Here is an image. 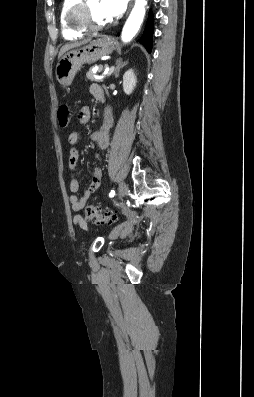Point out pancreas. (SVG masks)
Listing matches in <instances>:
<instances>
[{
    "mask_svg": "<svg viewBox=\"0 0 254 397\" xmlns=\"http://www.w3.org/2000/svg\"><path fill=\"white\" fill-rule=\"evenodd\" d=\"M102 70H103V66H102V65H99V66H98V73L101 72ZM96 75H97V74L93 73V69L90 68L89 71H88L87 74H86V78H87L88 80H90V81H98V79L96 78Z\"/></svg>",
    "mask_w": 254,
    "mask_h": 397,
    "instance_id": "1",
    "label": "pancreas"
}]
</instances>
